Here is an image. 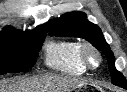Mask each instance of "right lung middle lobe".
Returning <instances> with one entry per match:
<instances>
[{
	"label": "right lung middle lobe",
	"instance_id": "obj_1",
	"mask_svg": "<svg viewBox=\"0 0 127 92\" xmlns=\"http://www.w3.org/2000/svg\"><path fill=\"white\" fill-rule=\"evenodd\" d=\"M45 35L46 32L39 31L25 37L0 36V75L33 67Z\"/></svg>",
	"mask_w": 127,
	"mask_h": 92
}]
</instances>
